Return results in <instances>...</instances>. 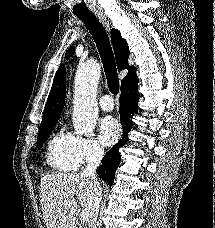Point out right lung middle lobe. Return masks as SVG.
Segmentation results:
<instances>
[{"label": "right lung middle lobe", "instance_id": "obj_1", "mask_svg": "<svg viewBox=\"0 0 215 228\" xmlns=\"http://www.w3.org/2000/svg\"><path fill=\"white\" fill-rule=\"evenodd\" d=\"M56 123L57 122L41 124L39 136L37 139L38 149H41L43 142H45V140L48 138V136L50 135V133H51L52 129L54 128V126L56 125Z\"/></svg>", "mask_w": 215, "mask_h": 228}]
</instances>
